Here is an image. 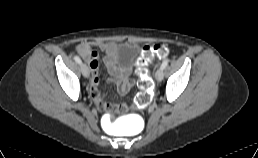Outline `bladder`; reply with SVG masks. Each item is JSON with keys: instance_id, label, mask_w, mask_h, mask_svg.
<instances>
[{"instance_id": "bladder-1", "label": "bladder", "mask_w": 258, "mask_h": 158, "mask_svg": "<svg viewBox=\"0 0 258 158\" xmlns=\"http://www.w3.org/2000/svg\"><path fill=\"white\" fill-rule=\"evenodd\" d=\"M139 52V46L134 43H124L118 47V60L126 66H132Z\"/></svg>"}]
</instances>
